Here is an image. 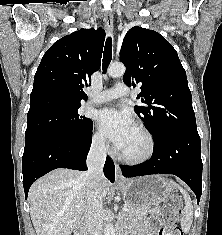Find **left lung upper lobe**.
Returning a JSON list of instances; mask_svg holds the SVG:
<instances>
[{
	"label": "left lung upper lobe",
	"mask_w": 222,
	"mask_h": 235,
	"mask_svg": "<svg viewBox=\"0 0 222 235\" xmlns=\"http://www.w3.org/2000/svg\"><path fill=\"white\" fill-rule=\"evenodd\" d=\"M120 61L126 66L124 83L141 88L137 99L146 106L134 110L154 142L172 133L199 137L186 72L162 35L132 27L123 39Z\"/></svg>",
	"instance_id": "obj_1"
}]
</instances>
